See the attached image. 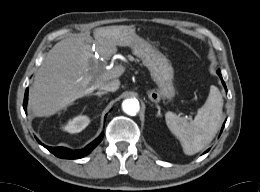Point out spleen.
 <instances>
[{
  "label": "spleen",
  "mask_w": 260,
  "mask_h": 192,
  "mask_svg": "<svg viewBox=\"0 0 260 192\" xmlns=\"http://www.w3.org/2000/svg\"><path fill=\"white\" fill-rule=\"evenodd\" d=\"M222 108V95L212 85L206 102L198 109L193 121L188 122L170 111L165 114L169 130L179 139L186 155H194L210 144L221 126Z\"/></svg>",
  "instance_id": "3e777b00"
}]
</instances>
